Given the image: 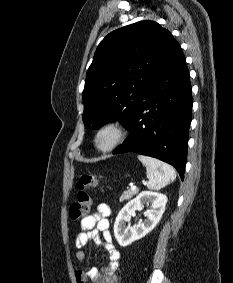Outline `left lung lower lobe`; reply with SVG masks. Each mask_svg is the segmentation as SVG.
I'll return each mask as SVG.
<instances>
[{
	"instance_id": "0a47b994",
	"label": "left lung lower lobe",
	"mask_w": 233,
	"mask_h": 283,
	"mask_svg": "<svg viewBox=\"0 0 233 283\" xmlns=\"http://www.w3.org/2000/svg\"><path fill=\"white\" fill-rule=\"evenodd\" d=\"M192 104L189 71L177 42L146 82L126 126L130 134L113 153L133 151L160 159L183 179Z\"/></svg>"
}]
</instances>
